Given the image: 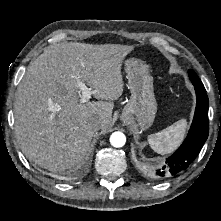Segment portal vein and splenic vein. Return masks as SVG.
<instances>
[{
	"label": "portal vein and splenic vein",
	"mask_w": 221,
	"mask_h": 221,
	"mask_svg": "<svg viewBox=\"0 0 221 221\" xmlns=\"http://www.w3.org/2000/svg\"><path fill=\"white\" fill-rule=\"evenodd\" d=\"M78 88L82 93L80 102L86 103L87 101H89L94 91L91 88H88L83 82L80 81L78 82Z\"/></svg>",
	"instance_id": "1"
}]
</instances>
